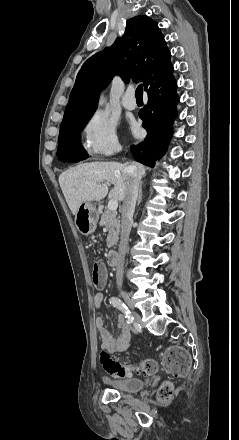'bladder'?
<instances>
[{
	"mask_svg": "<svg viewBox=\"0 0 239 440\" xmlns=\"http://www.w3.org/2000/svg\"><path fill=\"white\" fill-rule=\"evenodd\" d=\"M103 382L114 390L128 393L138 392L145 386V382L142 379L133 377L119 379L104 377Z\"/></svg>",
	"mask_w": 239,
	"mask_h": 440,
	"instance_id": "obj_1",
	"label": "bladder"
}]
</instances>
